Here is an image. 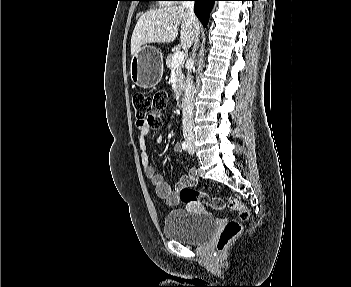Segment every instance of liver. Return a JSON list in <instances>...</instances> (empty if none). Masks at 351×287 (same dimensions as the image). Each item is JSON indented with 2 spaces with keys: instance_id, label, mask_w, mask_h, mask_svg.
Returning a JSON list of instances; mask_svg holds the SVG:
<instances>
[{
  "instance_id": "6515ba94",
  "label": "liver",
  "mask_w": 351,
  "mask_h": 287,
  "mask_svg": "<svg viewBox=\"0 0 351 287\" xmlns=\"http://www.w3.org/2000/svg\"><path fill=\"white\" fill-rule=\"evenodd\" d=\"M180 25L181 46L188 50L200 33V25L191 21L185 8L173 5L147 11L140 16L132 33L131 54L138 53L145 44L173 42Z\"/></svg>"
}]
</instances>
